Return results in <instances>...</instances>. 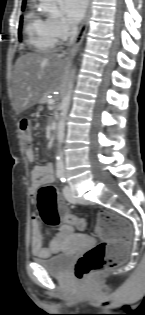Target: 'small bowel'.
Returning a JSON list of instances; mask_svg holds the SVG:
<instances>
[{
    "instance_id": "obj_1",
    "label": "small bowel",
    "mask_w": 145,
    "mask_h": 315,
    "mask_svg": "<svg viewBox=\"0 0 145 315\" xmlns=\"http://www.w3.org/2000/svg\"><path fill=\"white\" fill-rule=\"evenodd\" d=\"M25 154L30 162L35 160V152L31 147L25 148ZM54 168L51 163L35 165L30 172V195L32 200H35L38 189L43 184H49L54 181ZM73 232V227L70 224H63L60 226L58 232L51 240L49 247L43 246V230L40 226L38 217L32 215L31 217V235L30 247L32 253L37 257H50L61 251L63 246V239Z\"/></svg>"
}]
</instances>
